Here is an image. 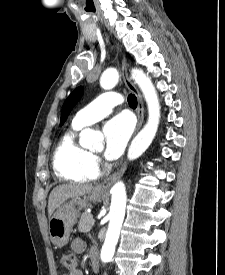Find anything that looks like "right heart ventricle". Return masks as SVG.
Masks as SVG:
<instances>
[{"label":"right heart ventricle","instance_id":"1","mask_svg":"<svg viewBox=\"0 0 225 275\" xmlns=\"http://www.w3.org/2000/svg\"><path fill=\"white\" fill-rule=\"evenodd\" d=\"M82 126L73 123L72 128L64 133L53 153L55 173L68 181L87 182L94 180L99 171L94 156L77 139V132Z\"/></svg>","mask_w":225,"mask_h":275}]
</instances>
